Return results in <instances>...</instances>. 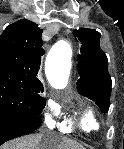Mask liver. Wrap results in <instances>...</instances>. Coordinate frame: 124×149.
<instances>
[{
    "instance_id": "liver-1",
    "label": "liver",
    "mask_w": 124,
    "mask_h": 149,
    "mask_svg": "<svg viewBox=\"0 0 124 149\" xmlns=\"http://www.w3.org/2000/svg\"><path fill=\"white\" fill-rule=\"evenodd\" d=\"M41 147H57V149H84L83 146L77 142L62 139L54 135H32L20 138L6 144L2 149H41Z\"/></svg>"
}]
</instances>
